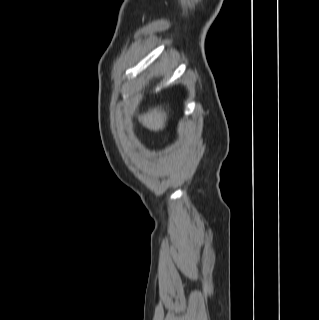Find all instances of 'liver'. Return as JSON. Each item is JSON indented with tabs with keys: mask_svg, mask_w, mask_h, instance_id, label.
Masks as SVG:
<instances>
[{
	"mask_svg": "<svg viewBox=\"0 0 319 320\" xmlns=\"http://www.w3.org/2000/svg\"><path fill=\"white\" fill-rule=\"evenodd\" d=\"M139 121L143 124V126L157 132L165 128L167 113L164 111V109H162L161 106L156 107L139 116Z\"/></svg>",
	"mask_w": 319,
	"mask_h": 320,
	"instance_id": "6515ba94",
	"label": "liver"
}]
</instances>
